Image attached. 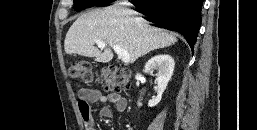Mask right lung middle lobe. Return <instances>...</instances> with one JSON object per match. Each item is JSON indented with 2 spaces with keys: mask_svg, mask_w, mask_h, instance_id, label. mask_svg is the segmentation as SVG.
Instances as JSON below:
<instances>
[{
  "mask_svg": "<svg viewBox=\"0 0 257 130\" xmlns=\"http://www.w3.org/2000/svg\"><path fill=\"white\" fill-rule=\"evenodd\" d=\"M110 2V0H74V8L80 11L88 6H105Z\"/></svg>",
  "mask_w": 257,
  "mask_h": 130,
  "instance_id": "1",
  "label": "right lung middle lobe"
}]
</instances>
